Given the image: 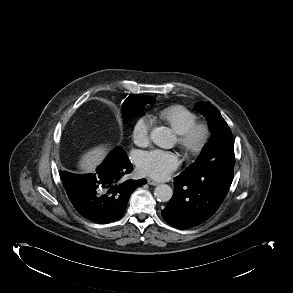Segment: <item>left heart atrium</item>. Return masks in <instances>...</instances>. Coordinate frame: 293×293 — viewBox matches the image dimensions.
Returning <instances> with one entry per match:
<instances>
[{"mask_svg":"<svg viewBox=\"0 0 293 293\" xmlns=\"http://www.w3.org/2000/svg\"><path fill=\"white\" fill-rule=\"evenodd\" d=\"M179 165L177 154L159 149L142 152L137 159L139 171L157 180L166 179Z\"/></svg>","mask_w":293,"mask_h":293,"instance_id":"1","label":"left heart atrium"}]
</instances>
